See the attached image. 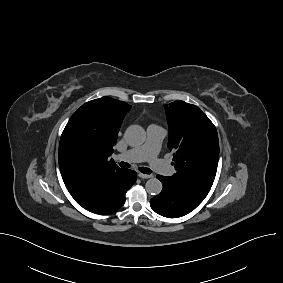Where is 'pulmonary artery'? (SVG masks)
<instances>
[{
  "instance_id": "pulmonary-artery-1",
  "label": "pulmonary artery",
  "mask_w": 283,
  "mask_h": 283,
  "mask_svg": "<svg viewBox=\"0 0 283 283\" xmlns=\"http://www.w3.org/2000/svg\"><path fill=\"white\" fill-rule=\"evenodd\" d=\"M166 131L158 125H150L147 128V140L141 147L130 149L119 155L117 158L129 162H149L150 166L158 173L171 176L174 168L158 157L162 141Z\"/></svg>"
}]
</instances>
